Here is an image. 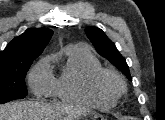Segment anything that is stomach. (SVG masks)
<instances>
[{
    "label": "stomach",
    "instance_id": "0dacf381",
    "mask_svg": "<svg viewBox=\"0 0 165 120\" xmlns=\"http://www.w3.org/2000/svg\"><path fill=\"white\" fill-rule=\"evenodd\" d=\"M97 118H101L102 120L104 119L102 115H100L97 112L94 111H88L83 113L80 117L79 120H94Z\"/></svg>",
    "mask_w": 165,
    "mask_h": 120
}]
</instances>
